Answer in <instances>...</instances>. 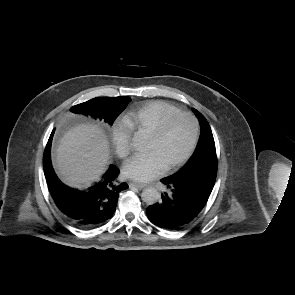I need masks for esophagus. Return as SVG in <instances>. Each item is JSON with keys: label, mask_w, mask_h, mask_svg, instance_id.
<instances>
[{"label": "esophagus", "mask_w": 295, "mask_h": 295, "mask_svg": "<svg viewBox=\"0 0 295 295\" xmlns=\"http://www.w3.org/2000/svg\"><path fill=\"white\" fill-rule=\"evenodd\" d=\"M129 186L130 187H135L137 189H143L145 187V185L143 184H140V183H136V182H131L129 183Z\"/></svg>", "instance_id": "esophagus-1"}]
</instances>
